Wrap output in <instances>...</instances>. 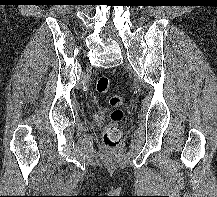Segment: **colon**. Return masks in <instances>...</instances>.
<instances>
[{"instance_id": "5ec220e1", "label": "colon", "mask_w": 217, "mask_h": 197, "mask_svg": "<svg viewBox=\"0 0 217 197\" xmlns=\"http://www.w3.org/2000/svg\"><path fill=\"white\" fill-rule=\"evenodd\" d=\"M96 91L100 94H106L110 90V79L107 76H100L97 78L95 83ZM109 103L115 107L110 113L111 124L106 126L102 135V141L104 146L109 150H115L119 147L121 131L118 127V123L122 121L124 112L120 108L123 101L118 95H111L109 97Z\"/></svg>"}]
</instances>
